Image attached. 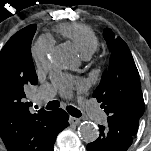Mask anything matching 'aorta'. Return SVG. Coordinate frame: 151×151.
Segmentation results:
<instances>
[{"label":"aorta","instance_id":"762f6f07","mask_svg":"<svg viewBox=\"0 0 151 151\" xmlns=\"http://www.w3.org/2000/svg\"><path fill=\"white\" fill-rule=\"evenodd\" d=\"M53 61L63 68L73 67L75 65V55L72 48L66 44L57 46L54 51ZM78 134L84 142L91 143L99 137V129L92 122H83L78 127Z\"/></svg>","mask_w":151,"mask_h":151}]
</instances>
